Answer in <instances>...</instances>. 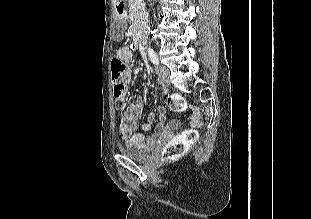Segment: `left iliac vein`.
<instances>
[{"label":"left iliac vein","mask_w":311,"mask_h":219,"mask_svg":"<svg viewBox=\"0 0 311 219\" xmlns=\"http://www.w3.org/2000/svg\"><path fill=\"white\" fill-rule=\"evenodd\" d=\"M156 73L160 79V81L165 84L169 85L170 80H169V70L163 66L157 65L155 67Z\"/></svg>","instance_id":"left-iliac-vein-1"}]
</instances>
